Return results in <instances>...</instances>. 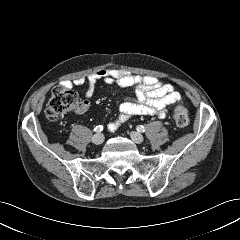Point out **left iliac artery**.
<instances>
[{
  "mask_svg": "<svg viewBox=\"0 0 240 240\" xmlns=\"http://www.w3.org/2000/svg\"><path fill=\"white\" fill-rule=\"evenodd\" d=\"M137 131L138 132H144L145 131V127L142 126V125H139V126H137Z\"/></svg>",
  "mask_w": 240,
  "mask_h": 240,
  "instance_id": "obj_1",
  "label": "left iliac artery"
}]
</instances>
